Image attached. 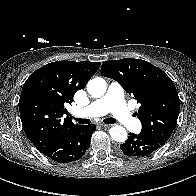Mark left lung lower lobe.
<instances>
[{"label": "left lung lower lobe", "instance_id": "left-lung-lower-lobe-1", "mask_svg": "<svg viewBox=\"0 0 196 196\" xmlns=\"http://www.w3.org/2000/svg\"><path fill=\"white\" fill-rule=\"evenodd\" d=\"M161 145L142 134L130 133L125 143L120 145L122 152L127 156L143 157L155 152Z\"/></svg>", "mask_w": 196, "mask_h": 196}]
</instances>
